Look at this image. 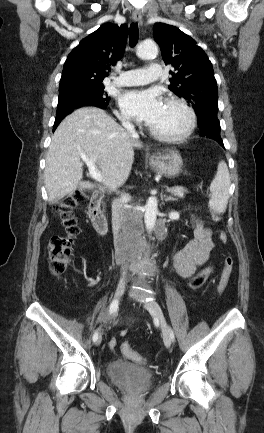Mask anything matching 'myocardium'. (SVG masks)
Returning <instances> with one entry per match:
<instances>
[{"mask_svg": "<svg viewBox=\"0 0 264 433\" xmlns=\"http://www.w3.org/2000/svg\"><path fill=\"white\" fill-rule=\"evenodd\" d=\"M165 103L176 105V106L180 107L187 114L188 122H187L185 129L183 131H181L180 133L173 134V135L160 133V132L152 129L151 127L148 128V131L151 134V136H153L155 139L162 141V142H167V143L182 142L193 133V131L196 127V124H197L196 113L190 105H188L184 100L177 98V97H168L165 100Z\"/></svg>", "mask_w": 264, "mask_h": 433, "instance_id": "f54148a6", "label": "myocardium"}]
</instances>
